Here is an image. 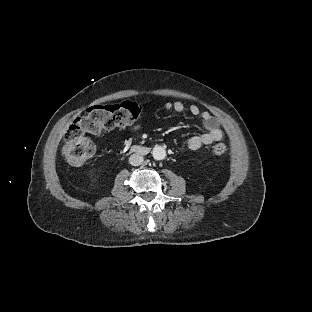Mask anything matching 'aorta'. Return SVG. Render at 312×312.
I'll use <instances>...</instances> for the list:
<instances>
[{"mask_svg":"<svg viewBox=\"0 0 312 312\" xmlns=\"http://www.w3.org/2000/svg\"><path fill=\"white\" fill-rule=\"evenodd\" d=\"M152 155L155 160H163L166 157V150L163 146L156 145L152 150Z\"/></svg>","mask_w":312,"mask_h":312,"instance_id":"762f6f07","label":"aorta"}]
</instances>
